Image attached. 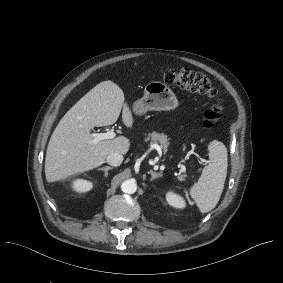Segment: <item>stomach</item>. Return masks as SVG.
I'll return each mask as SVG.
<instances>
[{
  "label": "stomach",
  "mask_w": 283,
  "mask_h": 283,
  "mask_svg": "<svg viewBox=\"0 0 283 283\" xmlns=\"http://www.w3.org/2000/svg\"><path fill=\"white\" fill-rule=\"evenodd\" d=\"M177 106V99L172 91L163 83L151 82L146 85L144 96L132 104V112L138 117L148 111L170 110Z\"/></svg>",
  "instance_id": "stomach-1"
}]
</instances>
